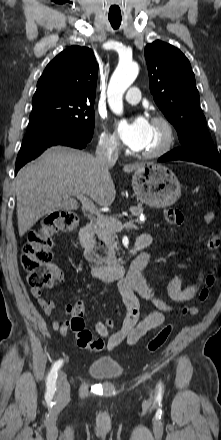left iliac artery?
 <instances>
[{
	"instance_id": "left-iliac-artery-1",
	"label": "left iliac artery",
	"mask_w": 221,
	"mask_h": 440,
	"mask_svg": "<svg viewBox=\"0 0 221 440\" xmlns=\"http://www.w3.org/2000/svg\"><path fill=\"white\" fill-rule=\"evenodd\" d=\"M159 391L161 392L162 391V386H161V384H159Z\"/></svg>"
}]
</instances>
